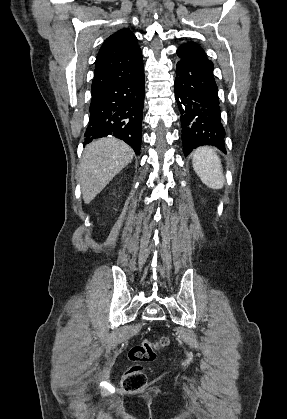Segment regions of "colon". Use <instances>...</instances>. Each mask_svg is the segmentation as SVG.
I'll list each match as a JSON object with an SVG mask.
<instances>
[{"instance_id": "colon-1", "label": "colon", "mask_w": 287, "mask_h": 419, "mask_svg": "<svg viewBox=\"0 0 287 419\" xmlns=\"http://www.w3.org/2000/svg\"><path fill=\"white\" fill-rule=\"evenodd\" d=\"M167 342L166 338H162L159 342L144 340L131 348L129 359L133 365L128 368L123 377L122 387L124 390L136 391L146 386L147 375L143 364L154 361L157 351L164 347Z\"/></svg>"}]
</instances>
